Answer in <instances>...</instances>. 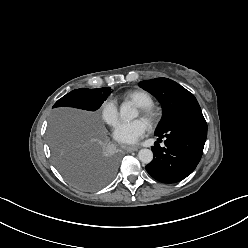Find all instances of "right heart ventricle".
I'll list each match as a JSON object with an SVG mask.
<instances>
[{
    "instance_id": "1",
    "label": "right heart ventricle",
    "mask_w": 248,
    "mask_h": 248,
    "mask_svg": "<svg viewBox=\"0 0 248 248\" xmlns=\"http://www.w3.org/2000/svg\"><path fill=\"white\" fill-rule=\"evenodd\" d=\"M124 97L134 102L138 107L153 104L152 95L149 92L141 89L128 91L125 93Z\"/></svg>"
}]
</instances>
